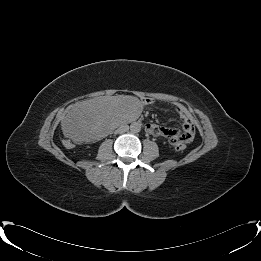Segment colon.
<instances>
[{"label": "colon", "instance_id": "5ec220e1", "mask_svg": "<svg viewBox=\"0 0 261 261\" xmlns=\"http://www.w3.org/2000/svg\"><path fill=\"white\" fill-rule=\"evenodd\" d=\"M170 141L177 151H183L186 148V141L182 136L171 137Z\"/></svg>", "mask_w": 261, "mask_h": 261}]
</instances>
